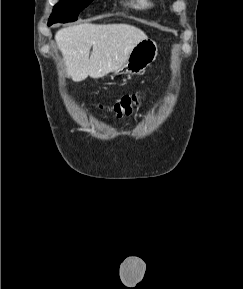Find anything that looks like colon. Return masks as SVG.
Listing matches in <instances>:
<instances>
[{
	"mask_svg": "<svg viewBox=\"0 0 243 289\" xmlns=\"http://www.w3.org/2000/svg\"><path fill=\"white\" fill-rule=\"evenodd\" d=\"M144 99V96L140 92L125 95L121 97L116 103L108 107V109L118 117L131 114L134 108L138 107ZM104 109L103 106H100Z\"/></svg>",
	"mask_w": 243,
	"mask_h": 289,
	"instance_id": "5ec220e1",
	"label": "colon"
}]
</instances>
